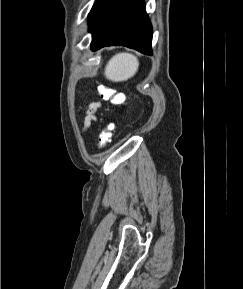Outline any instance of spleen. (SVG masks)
<instances>
[{"label": "spleen", "instance_id": "obj_1", "mask_svg": "<svg viewBox=\"0 0 243 289\" xmlns=\"http://www.w3.org/2000/svg\"><path fill=\"white\" fill-rule=\"evenodd\" d=\"M139 67L137 57L130 53L113 56L105 67V76L113 82L126 81L133 77Z\"/></svg>", "mask_w": 243, "mask_h": 289}]
</instances>
